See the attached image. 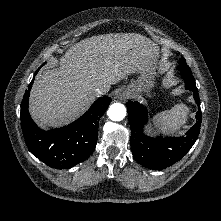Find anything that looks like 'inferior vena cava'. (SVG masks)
<instances>
[{"instance_id": "1", "label": "inferior vena cava", "mask_w": 221, "mask_h": 221, "mask_svg": "<svg viewBox=\"0 0 221 221\" xmlns=\"http://www.w3.org/2000/svg\"><path fill=\"white\" fill-rule=\"evenodd\" d=\"M104 94V91L102 89H96V95H102Z\"/></svg>"}]
</instances>
